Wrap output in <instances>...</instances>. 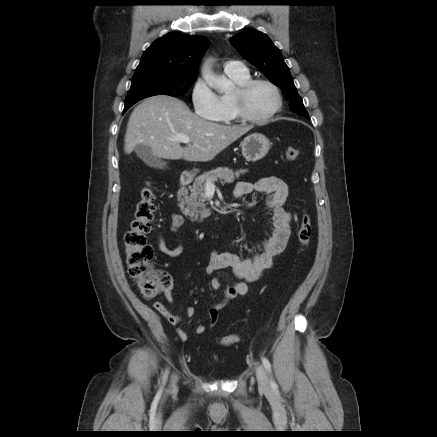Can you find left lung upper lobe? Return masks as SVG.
I'll return each instance as SVG.
<instances>
[{
    "mask_svg": "<svg viewBox=\"0 0 437 437\" xmlns=\"http://www.w3.org/2000/svg\"><path fill=\"white\" fill-rule=\"evenodd\" d=\"M231 44L250 63L255 65L289 100L290 109L309 118L302 98L294 85L288 66L280 50L264 33L257 30L241 32L231 39Z\"/></svg>",
    "mask_w": 437,
    "mask_h": 437,
    "instance_id": "5c2ea615",
    "label": "left lung upper lobe"
}]
</instances>
